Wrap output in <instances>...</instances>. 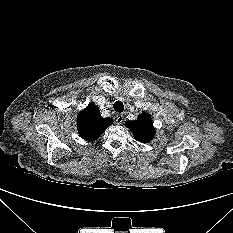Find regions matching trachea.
I'll use <instances>...</instances> for the list:
<instances>
[{
    "mask_svg": "<svg viewBox=\"0 0 233 233\" xmlns=\"http://www.w3.org/2000/svg\"><path fill=\"white\" fill-rule=\"evenodd\" d=\"M113 107H114V110L119 113L123 112L124 110V104L121 101H116Z\"/></svg>",
    "mask_w": 233,
    "mask_h": 233,
    "instance_id": "obj_1",
    "label": "trachea"
}]
</instances>
